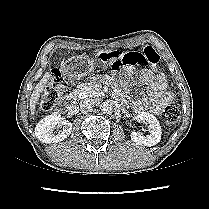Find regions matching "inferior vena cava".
<instances>
[{
  "mask_svg": "<svg viewBox=\"0 0 209 209\" xmlns=\"http://www.w3.org/2000/svg\"><path fill=\"white\" fill-rule=\"evenodd\" d=\"M95 101L92 98L81 99L79 105L82 110L89 111L93 108Z\"/></svg>",
  "mask_w": 209,
  "mask_h": 209,
  "instance_id": "1",
  "label": "inferior vena cava"
}]
</instances>
